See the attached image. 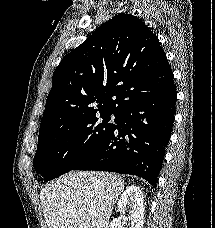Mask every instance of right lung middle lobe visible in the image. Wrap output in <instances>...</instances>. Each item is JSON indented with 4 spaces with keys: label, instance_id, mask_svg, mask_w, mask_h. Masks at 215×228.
<instances>
[{
    "label": "right lung middle lobe",
    "instance_id": "dd1d6c3e",
    "mask_svg": "<svg viewBox=\"0 0 215 228\" xmlns=\"http://www.w3.org/2000/svg\"><path fill=\"white\" fill-rule=\"evenodd\" d=\"M116 113L103 112L99 123L97 114L89 117L50 125L40 129L33 166L47 181L71 171L88 156L114 129L109 123Z\"/></svg>",
    "mask_w": 215,
    "mask_h": 228
}]
</instances>
